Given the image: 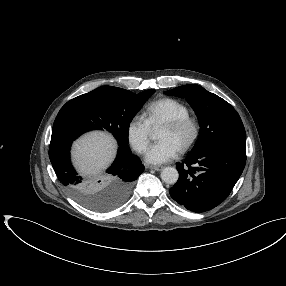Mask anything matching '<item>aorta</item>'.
Wrapping results in <instances>:
<instances>
[{"mask_svg":"<svg viewBox=\"0 0 286 286\" xmlns=\"http://www.w3.org/2000/svg\"><path fill=\"white\" fill-rule=\"evenodd\" d=\"M179 173L174 167H166L161 172V179L166 184H175L178 180Z\"/></svg>","mask_w":286,"mask_h":286,"instance_id":"aorta-1","label":"aorta"}]
</instances>
